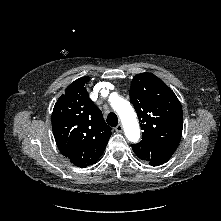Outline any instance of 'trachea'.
Masks as SVG:
<instances>
[{
    "instance_id": "obj_1",
    "label": "trachea",
    "mask_w": 221,
    "mask_h": 221,
    "mask_svg": "<svg viewBox=\"0 0 221 221\" xmlns=\"http://www.w3.org/2000/svg\"><path fill=\"white\" fill-rule=\"evenodd\" d=\"M106 121L108 125L115 127L118 124V117L115 113H109Z\"/></svg>"
}]
</instances>
